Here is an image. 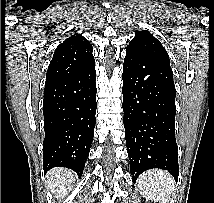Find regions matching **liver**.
<instances>
[{
	"instance_id": "obj_1",
	"label": "liver",
	"mask_w": 214,
	"mask_h": 203,
	"mask_svg": "<svg viewBox=\"0 0 214 203\" xmlns=\"http://www.w3.org/2000/svg\"><path fill=\"white\" fill-rule=\"evenodd\" d=\"M75 178L74 172L66 168H54L47 175V185L54 197L63 199L71 191L70 182Z\"/></svg>"
}]
</instances>
